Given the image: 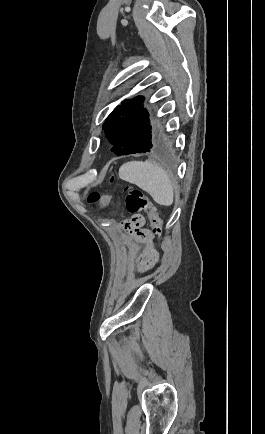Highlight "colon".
Returning <instances> with one entry per match:
<instances>
[{"label":"colon","instance_id":"obj_1","mask_svg":"<svg viewBox=\"0 0 265 434\" xmlns=\"http://www.w3.org/2000/svg\"><path fill=\"white\" fill-rule=\"evenodd\" d=\"M126 192L124 204L127 211L131 213L145 212L152 226L153 233L160 236L162 234V217L151 199L147 194L138 189H127ZM99 199V194L93 192L89 195L88 202L94 204L97 203Z\"/></svg>","mask_w":265,"mask_h":434}]
</instances>
